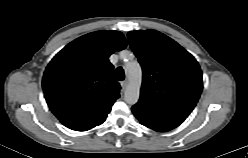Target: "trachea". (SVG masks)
<instances>
[{
  "instance_id": "3493384b",
  "label": "trachea",
  "mask_w": 248,
  "mask_h": 158,
  "mask_svg": "<svg viewBox=\"0 0 248 158\" xmlns=\"http://www.w3.org/2000/svg\"><path fill=\"white\" fill-rule=\"evenodd\" d=\"M116 78H117V80H119V81L124 80L125 74H124V70L122 69V67H118V68L116 69Z\"/></svg>"
}]
</instances>
